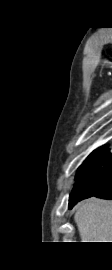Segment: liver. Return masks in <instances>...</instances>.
<instances>
[{
  "instance_id": "1",
  "label": "liver",
  "mask_w": 112,
  "mask_h": 270,
  "mask_svg": "<svg viewBox=\"0 0 112 270\" xmlns=\"http://www.w3.org/2000/svg\"><path fill=\"white\" fill-rule=\"evenodd\" d=\"M74 221L82 242H112V202L88 199L76 210Z\"/></svg>"
}]
</instances>
